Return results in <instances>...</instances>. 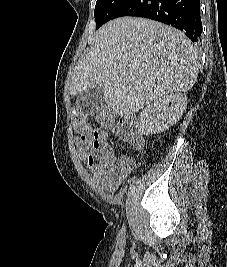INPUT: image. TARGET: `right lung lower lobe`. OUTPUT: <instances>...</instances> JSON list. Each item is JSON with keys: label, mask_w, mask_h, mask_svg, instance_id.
Returning a JSON list of instances; mask_svg holds the SVG:
<instances>
[{"label": "right lung lower lobe", "mask_w": 227, "mask_h": 267, "mask_svg": "<svg viewBox=\"0 0 227 267\" xmlns=\"http://www.w3.org/2000/svg\"><path fill=\"white\" fill-rule=\"evenodd\" d=\"M150 18L172 25L198 42L202 32L200 0H128L114 15Z\"/></svg>", "instance_id": "obj_1"}]
</instances>
